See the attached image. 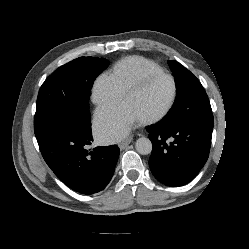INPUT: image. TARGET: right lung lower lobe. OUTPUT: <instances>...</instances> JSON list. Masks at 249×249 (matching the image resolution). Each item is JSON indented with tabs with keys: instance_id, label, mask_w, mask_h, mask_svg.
Segmentation results:
<instances>
[{
	"instance_id": "obj_1",
	"label": "right lung lower lobe",
	"mask_w": 249,
	"mask_h": 249,
	"mask_svg": "<svg viewBox=\"0 0 249 249\" xmlns=\"http://www.w3.org/2000/svg\"><path fill=\"white\" fill-rule=\"evenodd\" d=\"M36 138L47 165L71 189L93 194L110 182L120 150L116 145L88 150L91 123L53 128Z\"/></svg>"
}]
</instances>
